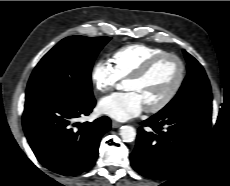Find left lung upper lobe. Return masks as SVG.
I'll use <instances>...</instances> for the list:
<instances>
[{
	"label": "left lung upper lobe",
	"instance_id": "left-lung-upper-lobe-1",
	"mask_svg": "<svg viewBox=\"0 0 230 186\" xmlns=\"http://www.w3.org/2000/svg\"><path fill=\"white\" fill-rule=\"evenodd\" d=\"M187 60V77L177 95L160 111L168 112L186 105L211 103L212 93L207 75L201 64L183 50Z\"/></svg>",
	"mask_w": 230,
	"mask_h": 186
}]
</instances>
